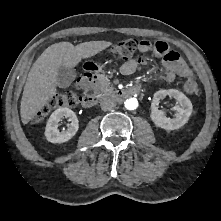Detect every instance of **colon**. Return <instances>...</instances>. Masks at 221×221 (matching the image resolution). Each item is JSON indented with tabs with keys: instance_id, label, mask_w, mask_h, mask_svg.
Segmentation results:
<instances>
[{
	"instance_id": "obj_1",
	"label": "colon",
	"mask_w": 221,
	"mask_h": 221,
	"mask_svg": "<svg viewBox=\"0 0 221 221\" xmlns=\"http://www.w3.org/2000/svg\"><path fill=\"white\" fill-rule=\"evenodd\" d=\"M141 41L137 39H126L120 41L113 47V53L122 59H130L137 49H139ZM95 78L92 74L86 73L79 77L76 81V89L78 92H62L53 96L48 104L37 113L34 118L36 123L43 121L46 115L55 108L73 107L78 105L83 98L89 94L94 86ZM184 89L188 94L199 95V85L194 77H188L184 83Z\"/></svg>"
}]
</instances>
